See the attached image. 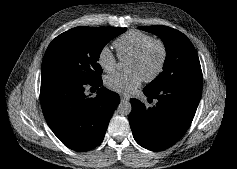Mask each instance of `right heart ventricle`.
<instances>
[{
	"mask_svg": "<svg viewBox=\"0 0 237 169\" xmlns=\"http://www.w3.org/2000/svg\"><path fill=\"white\" fill-rule=\"evenodd\" d=\"M153 37L147 33L131 30L114 41L118 56L122 59L129 58L138 52L145 44L151 41Z\"/></svg>",
	"mask_w": 237,
	"mask_h": 169,
	"instance_id": "right-heart-ventricle-1",
	"label": "right heart ventricle"
}]
</instances>
